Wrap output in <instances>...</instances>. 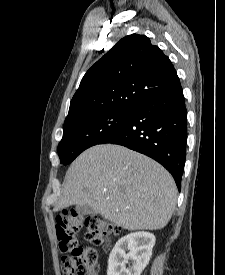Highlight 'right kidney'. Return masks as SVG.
Returning a JSON list of instances; mask_svg holds the SVG:
<instances>
[{"label": "right kidney", "mask_w": 225, "mask_h": 275, "mask_svg": "<svg viewBox=\"0 0 225 275\" xmlns=\"http://www.w3.org/2000/svg\"><path fill=\"white\" fill-rule=\"evenodd\" d=\"M155 240L152 233L144 231L119 239L109 255L107 275H140L151 258Z\"/></svg>", "instance_id": "obj_1"}]
</instances>
